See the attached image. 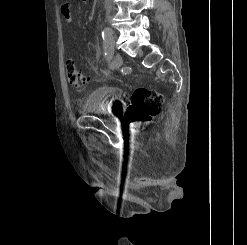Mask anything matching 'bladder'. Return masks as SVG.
Returning a JSON list of instances; mask_svg holds the SVG:
<instances>
[{"label":"bladder","instance_id":"obj_1","mask_svg":"<svg viewBox=\"0 0 247 245\" xmlns=\"http://www.w3.org/2000/svg\"><path fill=\"white\" fill-rule=\"evenodd\" d=\"M123 91L114 86L99 85L90 89L82 99L81 111L85 114H108L120 108Z\"/></svg>","mask_w":247,"mask_h":245}]
</instances>
